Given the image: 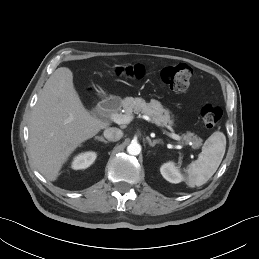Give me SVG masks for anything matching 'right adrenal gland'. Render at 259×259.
Segmentation results:
<instances>
[{"instance_id": "1", "label": "right adrenal gland", "mask_w": 259, "mask_h": 259, "mask_svg": "<svg viewBox=\"0 0 259 259\" xmlns=\"http://www.w3.org/2000/svg\"><path fill=\"white\" fill-rule=\"evenodd\" d=\"M95 139L98 141L104 142L106 144L109 143V141L105 140L104 137H102V136H96Z\"/></svg>"}]
</instances>
